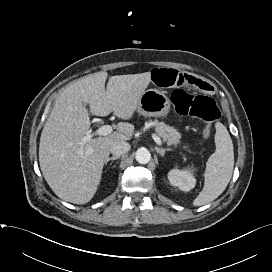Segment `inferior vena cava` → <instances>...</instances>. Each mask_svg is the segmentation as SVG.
<instances>
[{
  "instance_id": "inferior-vena-cava-1",
  "label": "inferior vena cava",
  "mask_w": 272,
  "mask_h": 272,
  "mask_svg": "<svg viewBox=\"0 0 272 272\" xmlns=\"http://www.w3.org/2000/svg\"><path fill=\"white\" fill-rule=\"evenodd\" d=\"M129 150L130 144L125 141L116 142L110 147V152L116 156L123 155L127 153Z\"/></svg>"
}]
</instances>
